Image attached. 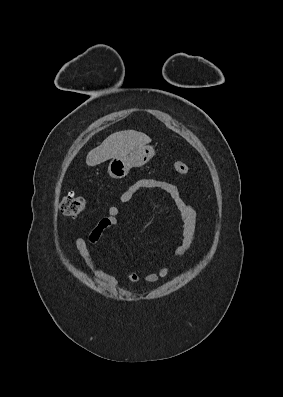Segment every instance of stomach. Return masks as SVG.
Segmentation results:
<instances>
[{
	"label": "stomach",
	"instance_id": "0dacf381",
	"mask_svg": "<svg viewBox=\"0 0 283 397\" xmlns=\"http://www.w3.org/2000/svg\"><path fill=\"white\" fill-rule=\"evenodd\" d=\"M155 155L151 146H143L134 150L130 155L113 158L108 166V173L112 178L120 179L127 176L132 167L145 165Z\"/></svg>",
	"mask_w": 283,
	"mask_h": 397
}]
</instances>
